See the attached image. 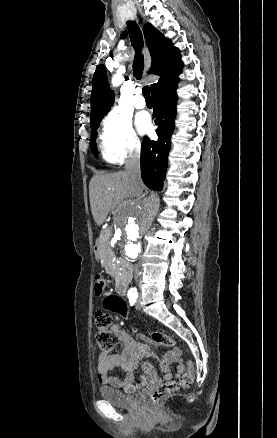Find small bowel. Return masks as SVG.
<instances>
[{
    "mask_svg": "<svg viewBox=\"0 0 277 438\" xmlns=\"http://www.w3.org/2000/svg\"><path fill=\"white\" fill-rule=\"evenodd\" d=\"M126 316L125 313H120ZM110 330L116 334L118 341L122 344V350L119 354L107 355L101 354L97 361L98 379L100 382L112 387L120 388L124 391H129L134 387V372L141 359L153 357L150 348L131 338L125 331H123L118 324H113ZM132 331V328H129ZM137 331V328H134ZM140 340L145 338L143 333L138 335ZM161 347V344H158ZM162 371L167 378L172 376H180L185 371V365L182 362L180 350L174 348L172 351L163 356ZM152 362L149 359L143 362V371H151ZM175 365V372H172V366ZM121 369L125 372L122 376H113L112 372Z\"/></svg>",
    "mask_w": 277,
    "mask_h": 438,
    "instance_id": "small-bowel-1",
    "label": "small bowel"
}]
</instances>
